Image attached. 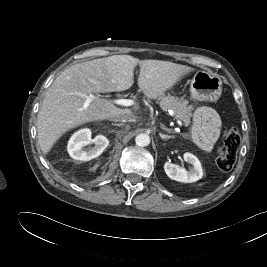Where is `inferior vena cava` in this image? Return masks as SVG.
Returning a JSON list of instances; mask_svg holds the SVG:
<instances>
[{
    "mask_svg": "<svg viewBox=\"0 0 267 267\" xmlns=\"http://www.w3.org/2000/svg\"><path fill=\"white\" fill-rule=\"evenodd\" d=\"M114 121L135 122L137 117L133 113H126L112 118Z\"/></svg>",
    "mask_w": 267,
    "mask_h": 267,
    "instance_id": "1",
    "label": "inferior vena cava"
}]
</instances>
